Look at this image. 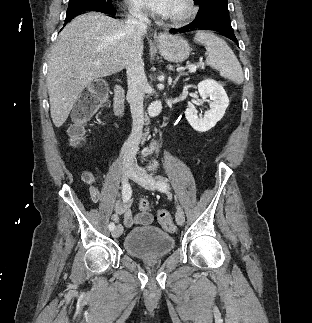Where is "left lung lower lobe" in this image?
<instances>
[{
  "instance_id": "left-lung-lower-lobe-1",
  "label": "left lung lower lobe",
  "mask_w": 312,
  "mask_h": 323,
  "mask_svg": "<svg viewBox=\"0 0 312 323\" xmlns=\"http://www.w3.org/2000/svg\"><path fill=\"white\" fill-rule=\"evenodd\" d=\"M211 30L216 31L219 34L235 41L238 44V41L234 35L233 29L231 27V21L230 18L224 19V18H217L214 20H208L205 22H201L198 24L190 23L187 26L181 27L179 29H171L170 32L172 33H185L192 30Z\"/></svg>"
}]
</instances>
